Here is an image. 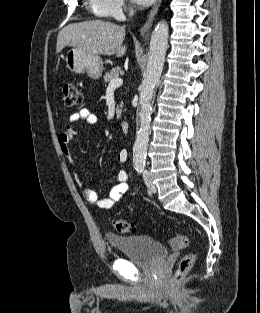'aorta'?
<instances>
[{
    "mask_svg": "<svg viewBox=\"0 0 260 313\" xmlns=\"http://www.w3.org/2000/svg\"><path fill=\"white\" fill-rule=\"evenodd\" d=\"M169 27L165 21L157 24L152 32L147 68L139 87V109L137 112L138 128L133 147V163H145L150 135L151 100L158 85L164 66L168 45Z\"/></svg>",
    "mask_w": 260,
    "mask_h": 313,
    "instance_id": "1",
    "label": "aorta"
}]
</instances>
